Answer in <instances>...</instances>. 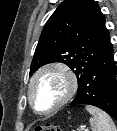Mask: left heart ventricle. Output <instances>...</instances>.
<instances>
[{
  "mask_svg": "<svg viewBox=\"0 0 117 131\" xmlns=\"http://www.w3.org/2000/svg\"><path fill=\"white\" fill-rule=\"evenodd\" d=\"M66 79L58 72L42 75L34 85V99L39 110L45 111L56 105L65 95Z\"/></svg>",
  "mask_w": 117,
  "mask_h": 131,
  "instance_id": "left-heart-ventricle-1",
  "label": "left heart ventricle"
}]
</instances>
